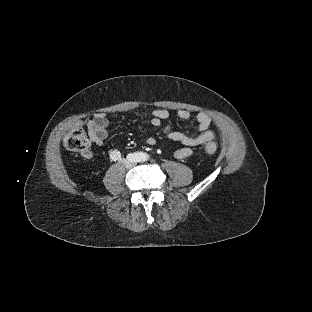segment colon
<instances>
[{
	"mask_svg": "<svg viewBox=\"0 0 312 312\" xmlns=\"http://www.w3.org/2000/svg\"><path fill=\"white\" fill-rule=\"evenodd\" d=\"M168 126L162 129V134H168L174 128V122L176 120L175 115H170L169 117ZM66 145L68 149L72 152L79 153L82 155H86L89 153L92 141L91 139L85 134L83 130H75L72 131L66 137ZM205 152L208 154L215 153L218 149V145L214 142H207L205 144Z\"/></svg>",
	"mask_w": 312,
	"mask_h": 312,
	"instance_id": "obj_1",
	"label": "colon"
}]
</instances>
